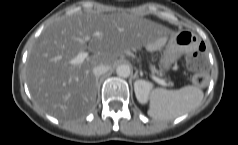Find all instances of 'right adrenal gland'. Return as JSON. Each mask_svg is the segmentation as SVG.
<instances>
[{
  "label": "right adrenal gland",
  "instance_id": "1",
  "mask_svg": "<svg viewBox=\"0 0 238 145\" xmlns=\"http://www.w3.org/2000/svg\"><path fill=\"white\" fill-rule=\"evenodd\" d=\"M99 77H96V84L98 83Z\"/></svg>",
  "mask_w": 238,
  "mask_h": 145
}]
</instances>
